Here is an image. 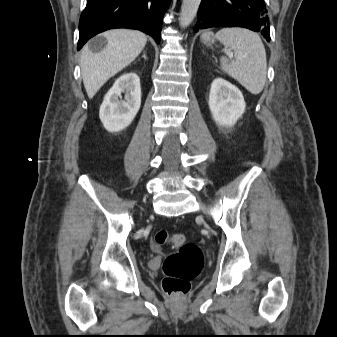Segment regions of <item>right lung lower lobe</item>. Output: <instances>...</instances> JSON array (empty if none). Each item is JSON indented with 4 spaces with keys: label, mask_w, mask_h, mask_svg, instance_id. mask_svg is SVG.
<instances>
[{
    "label": "right lung lower lobe",
    "mask_w": 337,
    "mask_h": 337,
    "mask_svg": "<svg viewBox=\"0 0 337 337\" xmlns=\"http://www.w3.org/2000/svg\"><path fill=\"white\" fill-rule=\"evenodd\" d=\"M170 0H87L79 22L77 49L108 29L131 28L151 35L160 43L162 19Z\"/></svg>",
    "instance_id": "98d812e1"
}]
</instances>
